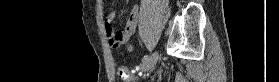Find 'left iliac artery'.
Masks as SVG:
<instances>
[{"label": "left iliac artery", "instance_id": "left-iliac-artery-1", "mask_svg": "<svg viewBox=\"0 0 279 82\" xmlns=\"http://www.w3.org/2000/svg\"><path fill=\"white\" fill-rule=\"evenodd\" d=\"M148 58H149V56H148V55H145V56L143 57L142 61L144 62V61L148 60ZM136 70H139V67H136Z\"/></svg>", "mask_w": 279, "mask_h": 82}]
</instances>
